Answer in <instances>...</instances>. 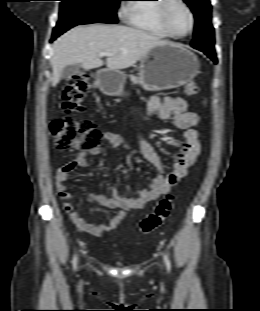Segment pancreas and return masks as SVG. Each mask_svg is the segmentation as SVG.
<instances>
[{
	"mask_svg": "<svg viewBox=\"0 0 260 311\" xmlns=\"http://www.w3.org/2000/svg\"><path fill=\"white\" fill-rule=\"evenodd\" d=\"M130 79H131L132 83H134V84H140L141 83L140 77H136L134 75H131Z\"/></svg>",
	"mask_w": 260,
	"mask_h": 311,
	"instance_id": "pancreas-1",
	"label": "pancreas"
}]
</instances>
